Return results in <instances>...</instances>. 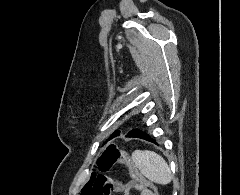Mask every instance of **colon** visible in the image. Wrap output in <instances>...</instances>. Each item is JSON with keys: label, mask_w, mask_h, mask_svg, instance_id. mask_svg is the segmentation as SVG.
I'll return each mask as SVG.
<instances>
[{"label": "colon", "mask_w": 240, "mask_h": 195, "mask_svg": "<svg viewBox=\"0 0 240 195\" xmlns=\"http://www.w3.org/2000/svg\"><path fill=\"white\" fill-rule=\"evenodd\" d=\"M128 161L126 154H122L115 145H110L100 154L98 165L101 170L108 171L118 163L125 164V168L129 169V174L135 180H138L140 186L144 187L149 195H155L156 189L144 177H141V174L135 168H132V163ZM119 191L120 184L118 182L103 175L93 173L85 184L82 195H110L111 192Z\"/></svg>", "instance_id": "colon-1"}]
</instances>
